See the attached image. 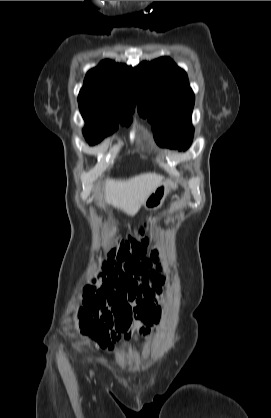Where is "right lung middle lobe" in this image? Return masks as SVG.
<instances>
[{
    "instance_id": "obj_1",
    "label": "right lung middle lobe",
    "mask_w": 271,
    "mask_h": 418,
    "mask_svg": "<svg viewBox=\"0 0 271 418\" xmlns=\"http://www.w3.org/2000/svg\"><path fill=\"white\" fill-rule=\"evenodd\" d=\"M80 111L86 122L83 133L86 140L91 145L100 142L105 136L111 134L117 128L118 122L128 126L132 121L131 115L109 116Z\"/></svg>"
}]
</instances>
